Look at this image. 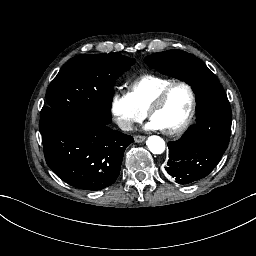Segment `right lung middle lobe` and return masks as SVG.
Wrapping results in <instances>:
<instances>
[{"instance_id":"right-lung-middle-lobe-1","label":"right lung middle lobe","mask_w":256,"mask_h":256,"mask_svg":"<svg viewBox=\"0 0 256 256\" xmlns=\"http://www.w3.org/2000/svg\"><path fill=\"white\" fill-rule=\"evenodd\" d=\"M135 62L119 53L71 58L50 83L40 114V132L61 125L79 130L84 122L109 124L116 79Z\"/></svg>"}]
</instances>
